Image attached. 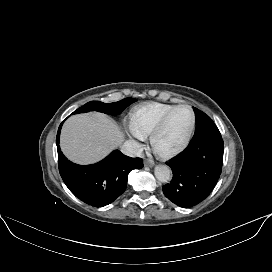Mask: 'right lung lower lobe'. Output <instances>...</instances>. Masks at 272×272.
Masks as SVG:
<instances>
[{"label":"right lung lower lobe","instance_id":"1","mask_svg":"<svg viewBox=\"0 0 272 272\" xmlns=\"http://www.w3.org/2000/svg\"><path fill=\"white\" fill-rule=\"evenodd\" d=\"M61 126L62 123L57 132L56 143L59 172L64 183L76 197L91 206L103 207L110 204L125 191L129 172L143 167V160L128 157L115 150L93 165L72 163L60 150Z\"/></svg>","mask_w":272,"mask_h":272}]
</instances>
